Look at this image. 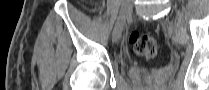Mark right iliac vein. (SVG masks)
<instances>
[{
	"label": "right iliac vein",
	"instance_id": "1",
	"mask_svg": "<svg viewBox=\"0 0 209 90\" xmlns=\"http://www.w3.org/2000/svg\"><path fill=\"white\" fill-rule=\"evenodd\" d=\"M131 13H132V1L130 0L124 1L113 30L114 42H117L120 39L126 19L131 15Z\"/></svg>",
	"mask_w": 209,
	"mask_h": 90
}]
</instances>
